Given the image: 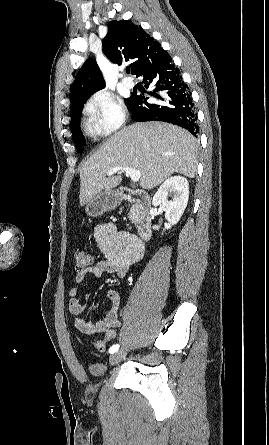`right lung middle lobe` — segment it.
<instances>
[{"label":"right lung middle lobe","instance_id":"right-lung-middle-lobe-1","mask_svg":"<svg viewBox=\"0 0 269 445\" xmlns=\"http://www.w3.org/2000/svg\"><path fill=\"white\" fill-rule=\"evenodd\" d=\"M131 95L129 98L125 99L126 103L130 104V101L132 99ZM85 102H81L73 107L70 108V115H71V122H70V126H71V131H72V138L73 141L75 143V145L77 146V150L82 153L84 150V146L86 145L85 142V138L82 135L81 129H80V124H79V119H80V115H81V110L83 107V104Z\"/></svg>","mask_w":269,"mask_h":445}]
</instances>
